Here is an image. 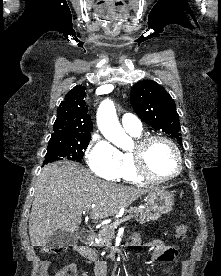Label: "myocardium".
Returning <instances> with one entry per match:
<instances>
[{"mask_svg": "<svg viewBox=\"0 0 221 276\" xmlns=\"http://www.w3.org/2000/svg\"><path fill=\"white\" fill-rule=\"evenodd\" d=\"M155 141L166 142L174 151L177 159V170L175 173L169 176H156L148 168L146 160V151L150 144ZM137 175L146 181L150 182H167L177 178L183 169V160L179 147L169 137L164 135H146L140 137L135 144L133 151L131 152Z\"/></svg>", "mask_w": 221, "mask_h": 276, "instance_id": "obj_1", "label": "myocardium"}]
</instances>
